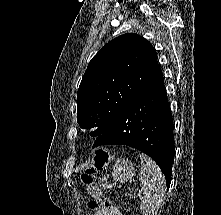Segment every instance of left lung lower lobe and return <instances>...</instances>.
I'll return each mask as SVG.
<instances>
[{
	"label": "left lung lower lobe",
	"instance_id": "obj_1",
	"mask_svg": "<svg viewBox=\"0 0 221 215\" xmlns=\"http://www.w3.org/2000/svg\"><path fill=\"white\" fill-rule=\"evenodd\" d=\"M163 76L136 98L101 134L92 148L127 145L152 157L171 183L174 143L172 118Z\"/></svg>",
	"mask_w": 221,
	"mask_h": 215
}]
</instances>
